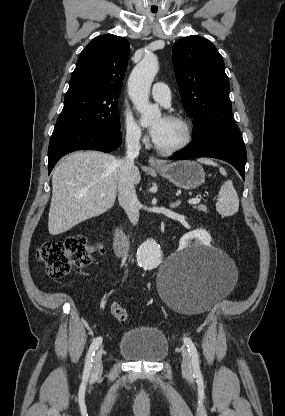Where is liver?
Listing matches in <instances>:
<instances>
[{
  "instance_id": "liver-1",
  "label": "liver",
  "mask_w": 285,
  "mask_h": 416,
  "mask_svg": "<svg viewBox=\"0 0 285 416\" xmlns=\"http://www.w3.org/2000/svg\"><path fill=\"white\" fill-rule=\"evenodd\" d=\"M133 184L141 180L137 166L131 170ZM52 200L48 230L63 234L80 222L108 212L117 196L118 160L102 152H73L52 176ZM104 194V196H100Z\"/></svg>"
}]
</instances>
